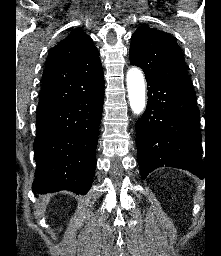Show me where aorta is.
Listing matches in <instances>:
<instances>
[{"label": "aorta", "instance_id": "1", "mask_svg": "<svg viewBox=\"0 0 221 256\" xmlns=\"http://www.w3.org/2000/svg\"><path fill=\"white\" fill-rule=\"evenodd\" d=\"M128 98L134 114H140L146 105L145 80L140 69L133 67L126 75Z\"/></svg>", "mask_w": 221, "mask_h": 256}]
</instances>
